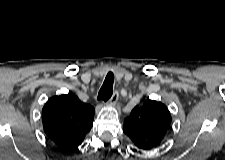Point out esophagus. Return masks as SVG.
Instances as JSON below:
<instances>
[{"label":"esophagus","instance_id":"34e87169","mask_svg":"<svg viewBox=\"0 0 225 160\" xmlns=\"http://www.w3.org/2000/svg\"><path fill=\"white\" fill-rule=\"evenodd\" d=\"M118 97H119V94H118L117 91H115V92L113 93L112 97H111L110 100H109V104H110V105L116 104V102H117V100H118Z\"/></svg>","mask_w":225,"mask_h":160}]
</instances>
